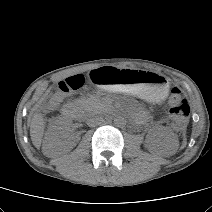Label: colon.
I'll use <instances>...</instances> for the list:
<instances>
[{"label":"colon","instance_id":"5ec220e1","mask_svg":"<svg viewBox=\"0 0 212 212\" xmlns=\"http://www.w3.org/2000/svg\"><path fill=\"white\" fill-rule=\"evenodd\" d=\"M85 84L84 75H74L58 85V90L52 98V103L57 104L61 99L70 94L78 92ZM169 113L170 116L182 125L188 119L190 113V106L187 98L182 94L178 87H174L169 98Z\"/></svg>","mask_w":212,"mask_h":212}]
</instances>
